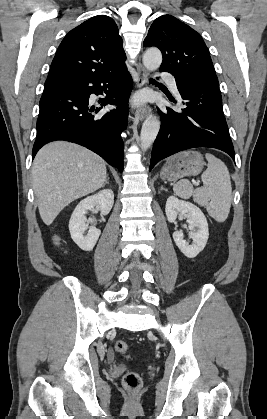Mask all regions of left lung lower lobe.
<instances>
[{"mask_svg": "<svg viewBox=\"0 0 267 419\" xmlns=\"http://www.w3.org/2000/svg\"><path fill=\"white\" fill-rule=\"evenodd\" d=\"M175 79L182 108L158 109L161 127L153 145L150 170L161 159L195 147L220 149L235 160L219 87L191 86L187 79ZM169 100L176 103L174 98Z\"/></svg>", "mask_w": 267, "mask_h": 419, "instance_id": "0a47b994", "label": "left lung lower lobe"}]
</instances>
